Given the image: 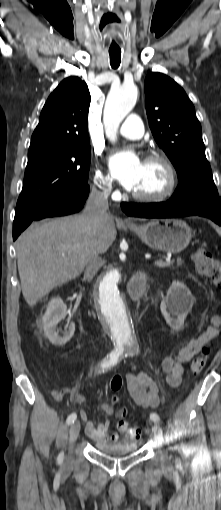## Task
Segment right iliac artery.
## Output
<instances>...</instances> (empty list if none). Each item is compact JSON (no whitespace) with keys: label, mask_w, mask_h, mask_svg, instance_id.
Listing matches in <instances>:
<instances>
[{"label":"right iliac artery","mask_w":221,"mask_h":510,"mask_svg":"<svg viewBox=\"0 0 221 510\" xmlns=\"http://www.w3.org/2000/svg\"><path fill=\"white\" fill-rule=\"evenodd\" d=\"M119 356H120V353L117 352V351H112L109 355V358L105 359L102 363H101V368L104 370V369H107L109 368L110 366L114 365L117 363L118 359H119ZM77 418V415L76 413H72L68 416L67 418V425H71L72 423H74V421L76 420ZM63 458H64V454L63 452H61L58 456V462H62L63 461Z\"/></svg>","instance_id":"82829eb1"}]
</instances>
